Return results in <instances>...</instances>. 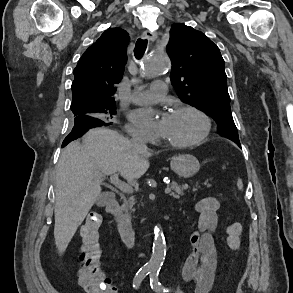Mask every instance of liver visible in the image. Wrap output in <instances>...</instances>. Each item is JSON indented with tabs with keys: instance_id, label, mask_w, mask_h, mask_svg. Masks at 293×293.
I'll list each match as a JSON object with an SVG mask.
<instances>
[{
	"instance_id": "1",
	"label": "liver",
	"mask_w": 293,
	"mask_h": 293,
	"mask_svg": "<svg viewBox=\"0 0 293 293\" xmlns=\"http://www.w3.org/2000/svg\"><path fill=\"white\" fill-rule=\"evenodd\" d=\"M147 148L139 149L118 132L95 128L82 142L68 144L61 153L55 182L56 247L63 253L101 193L100 175H120L128 181L149 168Z\"/></svg>"
}]
</instances>
